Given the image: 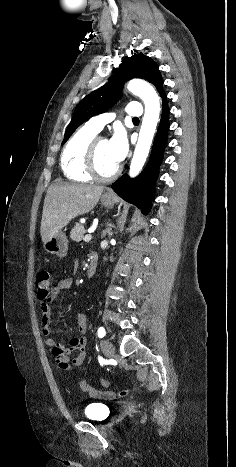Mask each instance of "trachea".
<instances>
[{
	"mask_svg": "<svg viewBox=\"0 0 236 467\" xmlns=\"http://www.w3.org/2000/svg\"><path fill=\"white\" fill-rule=\"evenodd\" d=\"M133 121H139V119L138 118H133Z\"/></svg>",
	"mask_w": 236,
	"mask_h": 467,
	"instance_id": "1",
	"label": "trachea"
}]
</instances>
